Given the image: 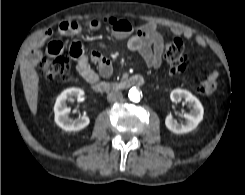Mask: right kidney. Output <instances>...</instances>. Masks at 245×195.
<instances>
[{"label":"right kidney","mask_w":245,"mask_h":195,"mask_svg":"<svg viewBox=\"0 0 245 195\" xmlns=\"http://www.w3.org/2000/svg\"><path fill=\"white\" fill-rule=\"evenodd\" d=\"M84 91L80 88H69L64 90L56 99L54 105L55 122L65 131H79L89 125L90 119L83 115L80 118L72 119L69 117L70 109L67 107V101L73 98H81Z\"/></svg>","instance_id":"right-kidney-1"}]
</instances>
